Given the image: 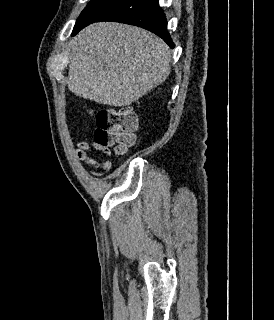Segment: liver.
<instances>
[{
	"instance_id": "1",
	"label": "liver",
	"mask_w": 274,
	"mask_h": 320,
	"mask_svg": "<svg viewBox=\"0 0 274 320\" xmlns=\"http://www.w3.org/2000/svg\"><path fill=\"white\" fill-rule=\"evenodd\" d=\"M70 92L108 106H130L170 74V48L142 28L99 22L70 44Z\"/></svg>"
}]
</instances>
